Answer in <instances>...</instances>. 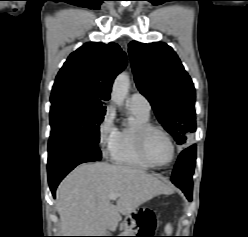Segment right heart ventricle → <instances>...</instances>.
I'll return each instance as SVG.
<instances>
[{
	"mask_svg": "<svg viewBox=\"0 0 248 237\" xmlns=\"http://www.w3.org/2000/svg\"><path fill=\"white\" fill-rule=\"evenodd\" d=\"M130 111L133 116V122L118 129L116 146L111 159L117 164L139 169H149L151 166L139 155L135 134L138 127L150 123V112H145L135 107H130Z\"/></svg>",
	"mask_w": 248,
	"mask_h": 237,
	"instance_id": "right-heart-ventricle-1",
	"label": "right heart ventricle"
}]
</instances>
